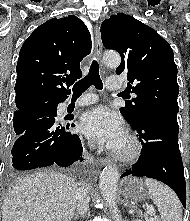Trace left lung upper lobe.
I'll list each match as a JSON object with an SVG mask.
<instances>
[{
	"mask_svg": "<svg viewBox=\"0 0 190 221\" xmlns=\"http://www.w3.org/2000/svg\"><path fill=\"white\" fill-rule=\"evenodd\" d=\"M101 36L106 49L120 53L116 73H127V89L137 95L120 108L127 122L134 124L152 109L178 113L177 66L169 43L154 29L123 13L103 21Z\"/></svg>",
	"mask_w": 190,
	"mask_h": 221,
	"instance_id": "obj_1",
	"label": "left lung upper lobe"
}]
</instances>
